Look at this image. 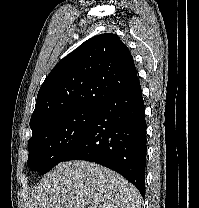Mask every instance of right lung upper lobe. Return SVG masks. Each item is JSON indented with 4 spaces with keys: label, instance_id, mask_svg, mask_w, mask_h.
<instances>
[{
    "label": "right lung upper lobe",
    "instance_id": "obj_1",
    "mask_svg": "<svg viewBox=\"0 0 199 208\" xmlns=\"http://www.w3.org/2000/svg\"><path fill=\"white\" fill-rule=\"evenodd\" d=\"M137 80L133 57L117 35L106 33L90 38L46 77L30 127L72 109L98 106Z\"/></svg>",
    "mask_w": 199,
    "mask_h": 208
}]
</instances>
